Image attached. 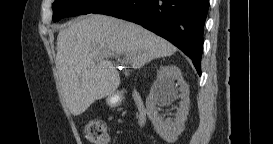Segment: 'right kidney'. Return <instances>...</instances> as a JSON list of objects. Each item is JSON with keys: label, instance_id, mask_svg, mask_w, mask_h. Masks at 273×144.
<instances>
[{"label": "right kidney", "instance_id": "obj_1", "mask_svg": "<svg viewBox=\"0 0 273 144\" xmlns=\"http://www.w3.org/2000/svg\"><path fill=\"white\" fill-rule=\"evenodd\" d=\"M176 81V83H175ZM176 86L180 87L183 99L175 119L164 120L156 108L158 99L172 101L176 96ZM189 87L176 66H165L157 74L154 89L146 100L147 114L156 133L165 141L172 143L183 132L189 111Z\"/></svg>", "mask_w": 273, "mask_h": 144}]
</instances>
